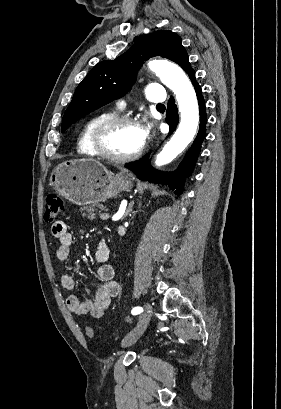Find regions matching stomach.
<instances>
[{
	"instance_id": "stomach-1",
	"label": "stomach",
	"mask_w": 281,
	"mask_h": 409,
	"mask_svg": "<svg viewBox=\"0 0 281 409\" xmlns=\"http://www.w3.org/2000/svg\"><path fill=\"white\" fill-rule=\"evenodd\" d=\"M49 182L55 192L74 205H91V202L97 205V202H104L133 186L130 172H118L113 176L102 162L89 158L60 162L52 170Z\"/></svg>"
}]
</instances>
